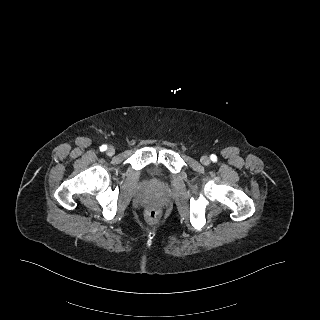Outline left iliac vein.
I'll list each match as a JSON object with an SVG mask.
<instances>
[{
  "label": "left iliac vein",
  "mask_w": 320,
  "mask_h": 320,
  "mask_svg": "<svg viewBox=\"0 0 320 320\" xmlns=\"http://www.w3.org/2000/svg\"><path fill=\"white\" fill-rule=\"evenodd\" d=\"M200 161H201V163L204 164V165H209V164H210V159H209V157H208V156H205V155L200 158Z\"/></svg>",
  "instance_id": "left-iliac-vein-1"
}]
</instances>
